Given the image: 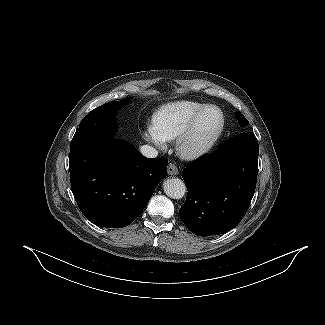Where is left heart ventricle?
<instances>
[{
    "label": "left heart ventricle",
    "mask_w": 325,
    "mask_h": 325,
    "mask_svg": "<svg viewBox=\"0 0 325 325\" xmlns=\"http://www.w3.org/2000/svg\"><path fill=\"white\" fill-rule=\"evenodd\" d=\"M220 123V115L214 109L207 110L202 116L195 135L194 141L195 143H203L205 142L215 131Z\"/></svg>",
    "instance_id": "left-heart-ventricle-1"
}]
</instances>
